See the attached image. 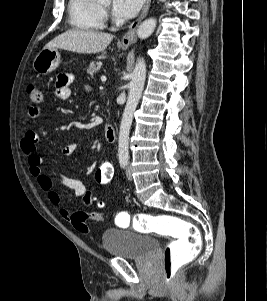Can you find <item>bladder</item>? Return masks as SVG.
<instances>
[{
  "label": "bladder",
  "instance_id": "bladder-1",
  "mask_svg": "<svg viewBox=\"0 0 267 301\" xmlns=\"http://www.w3.org/2000/svg\"><path fill=\"white\" fill-rule=\"evenodd\" d=\"M101 240L109 255L125 259H143L158 248L157 238L118 228L105 230Z\"/></svg>",
  "mask_w": 267,
  "mask_h": 301
}]
</instances>
